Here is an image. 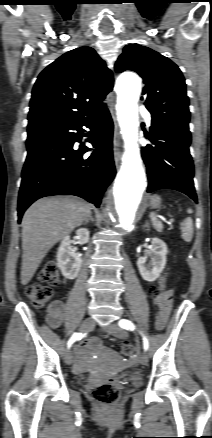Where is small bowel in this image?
Segmentation results:
<instances>
[{
	"instance_id": "obj_1",
	"label": "small bowel",
	"mask_w": 212,
	"mask_h": 438,
	"mask_svg": "<svg viewBox=\"0 0 212 438\" xmlns=\"http://www.w3.org/2000/svg\"><path fill=\"white\" fill-rule=\"evenodd\" d=\"M153 303L156 308V327L157 329H163L169 319L172 305H173V292L171 290L165 291L162 295L155 298ZM65 314V305L61 301H54L48 307L46 321L48 325L55 329L58 328ZM99 343L87 344L83 343L78 348L77 362L73 367V371L76 374H80L87 370L88 360H87V350L89 348L97 349L99 348Z\"/></svg>"
}]
</instances>
